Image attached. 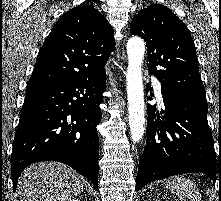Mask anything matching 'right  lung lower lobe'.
<instances>
[{
    "label": "right lung lower lobe",
    "mask_w": 221,
    "mask_h": 201,
    "mask_svg": "<svg viewBox=\"0 0 221 201\" xmlns=\"http://www.w3.org/2000/svg\"><path fill=\"white\" fill-rule=\"evenodd\" d=\"M106 72L58 84H27L11 154L15 192L20 173L30 164L58 161L98 187L102 93Z\"/></svg>",
    "instance_id": "1"
}]
</instances>
